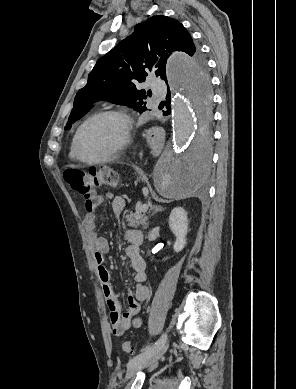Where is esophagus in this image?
I'll use <instances>...</instances> for the list:
<instances>
[{
    "label": "esophagus",
    "mask_w": 296,
    "mask_h": 389,
    "mask_svg": "<svg viewBox=\"0 0 296 389\" xmlns=\"http://www.w3.org/2000/svg\"><path fill=\"white\" fill-rule=\"evenodd\" d=\"M150 126H151L152 129L157 130V129L160 128L161 123H160L159 120L154 119V120L151 121Z\"/></svg>",
    "instance_id": "esophagus-1"
}]
</instances>
